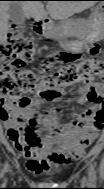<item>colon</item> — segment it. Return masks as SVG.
<instances>
[{
	"instance_id": "colon-1",
	"label": "colon",
	"mask_w": 104,
	"mask_h": 189,
	"mask_svg": "<svg viewBox=\"0 0 104 189\" xmlns=\"http://www.w3.org/2000/svg\"><path fill=\"white\" fill-rule=\"evenodd\" d=\"M88 56L63 54L64 64L52 69L44 64L39 72L25 69L35 55L34 43L18 32L10 33L0 47L4 64L0 72V92L4 99L21 105L30 103V95L46 100L56 99L62 86L84 80L95 84L104 81V62L96 55L99 47L89 45Z\"/></svg>"
}]
</instances>
